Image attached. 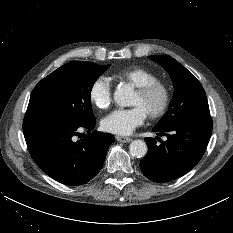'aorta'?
Masks as SVG:
<instances>
[{"instance_id":"1","label":"aorta","mask_w":233,"mask_h":233,"mask_svg":"<svg viewBox=\"0 0 233 233\" xmlns=\"http://www.w3.org/2000/svg\"><path fill=\"white\" fill-rule=\"evenodd\" d=\"M133 98V90L129 85L118 86L114 92V101L121 107H127L131 105ZM147 145L143 140H134L129 146V151L132 156L141 158L147 153Z\"/></svg>"}]
</instances>
